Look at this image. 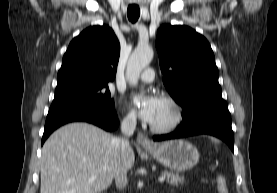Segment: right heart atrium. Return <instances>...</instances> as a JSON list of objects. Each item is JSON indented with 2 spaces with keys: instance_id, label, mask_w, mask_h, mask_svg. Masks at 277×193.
<instances>
[{
  "instance_id": "obj_1",
  "label": "right heart atrium",
  "mask_w": 277,
  "mask_h": 193,
  "mask_svg": "<svg viewBox=\"0 0 277 193\" xmlns=\"http://www.w3.org/2000/svg\"><path fill=\"white\" fill-rule=\"evenodd\" d=\"M122 121L126 125H133L135 123V115L132 112H127L123 115Z\"/></svg>"
}]
</instances>
